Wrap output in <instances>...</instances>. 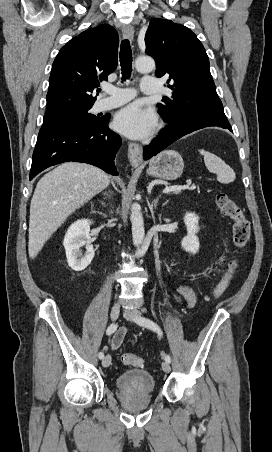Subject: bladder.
I'll return each instance as SVG.
<instances>
[{"instance_id":"31cf9c89","label":"bladder","mask_w":272,"mask_h":452,"mask_svg":"<svg viewBox=\"0 0 272 452\" xmlns=\"http://www.w3.org/2000/svg\"><path fill=\"white\" fill-rule=\"evenodd\" d=\"M116 386L120 390L151 394L155 390L153 375L143 369H132L121 373L116 379Z\"/></svg>"}]
</instances>
